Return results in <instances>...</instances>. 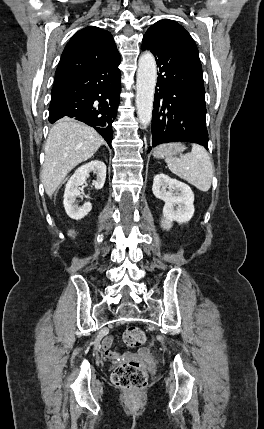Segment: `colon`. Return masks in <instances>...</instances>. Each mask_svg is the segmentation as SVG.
<instances>
[{
	"mask_svg": "<svg viewBox=\"0 0 264 429\" xmlns=\"http://www.w3.org/2000/svg\"><path fill=\"white\" fill-rule=\"evenodd\" d=\"M128 347L136 348L144 344L145 333L138 327H128L123 334ZM113 383L124 390L138 392L147 382L145 366L139 358H132L116 366L112 373Z\"/></svg>",
	"mask_w": 264,
	"mask_h": 429,
	"instance_id": "1",
	"label": "colon"
}]
</instances>
